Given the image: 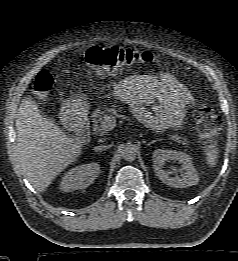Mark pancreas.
<instances>
[{"mask_svg":"<svg viewBox=\"0 0 238 261\" xmlns=\"http://www.w3.org/2000/svg\"><path fill=\"white\" fill-rule=\"evenodd\" d=\"M108 111L105 108H97L92 113V122H93V131L95 134H100L101 136L106 135L107 131L103 128L102 122L104 120V117L107 114ZM169 138L173 141H176L177 143H181L183 145H188L186 138H181L178 134H172L169 135Z\"/></svg>","mask_w":238,"mask_h":261,"instance_id":"obj_1","label":"pancreas"}]
</instances>
